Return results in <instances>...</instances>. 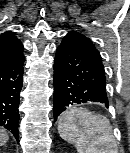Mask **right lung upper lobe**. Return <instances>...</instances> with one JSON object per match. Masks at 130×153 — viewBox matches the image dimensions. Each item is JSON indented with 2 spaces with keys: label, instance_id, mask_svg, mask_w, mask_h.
<instances>
[{
  "label": "right lung upper lobe",
  "instance_id": "1",
  "mask_svg": "<svg viewBox=\"0 0 130 153\" xmlns=\"http://www.w3.org/2000/svg\"><path fill=\"white\" fill-rule=\"evenodd\" d=\"M23 45L14 32L7 31L0 35V64L14 61L23 56Z\"/></svg>",
  "mask_w": 130,
  "mask_h": 153
}]
</instances>
